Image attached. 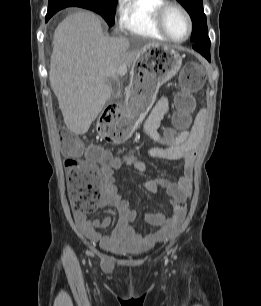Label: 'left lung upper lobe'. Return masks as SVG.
<instances>
[{
  "label": "left lung upper lobe",
  "mask_w": 261,
  "mask_h": 306,
  "mask_svg": "<svg viewBox=\"0 0 261 306\" xmlns=\"http://www.w3.org/2000/svg\"><path fill=\"white\" fill-rule=\"evenodd\" d=\"M189 13L193 31L191 34L192 46L210 61V39L207 34L206 16L203 11L202 0H177Z\"/></svg>",
  "instance_id": "5c2ea615"
}]
</instances>
